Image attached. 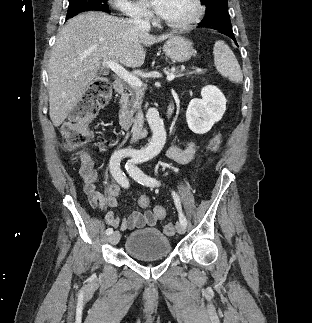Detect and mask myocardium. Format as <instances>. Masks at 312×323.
Masks as SVG:
<instances>
[{
	"instance_id": "f54148a6",
	"label": "myocardium",
	"mask_w": 312,
	"mask_h": 323,
	"mask_svg": "<svg viewBox=\"0 0 312 323\" xmlns=\"http://www.w3.org/2000/svg\"><path fill=\"white\" fill-rule=\"evenodd\" d=\"M203 0H191L193 6L191 18L185 20H178V18H163L161 23L163 25H174L175 27H186L187 25H195L196 21H204L205 13H208L209 8L202 3Z\"/></svg>"
}]
</instances>
